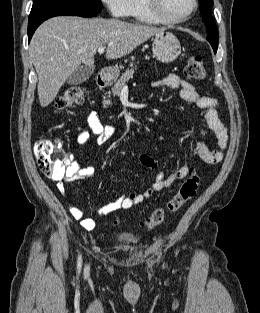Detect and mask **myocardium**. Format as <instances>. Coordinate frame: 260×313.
Returning a JSON list of instances; mask_svg holds the SVG:
<instances>
[{"label": "myocardium", "mask_w": 260, "mask_h": 313, "mask_svg": "<svg viewBox=\"0 0 260 313\" xmlns=\"http://www.w3.org/2000/svg\"><path fill=\"white\" fill-rule=\"evenodd\" d=\"M160 0H144V4L149 12V14L159 23L162 24H178L187 20L192 16L198 9V0H192V7L189 11L182 14L179 17L171 18L165 16L160 9Z\"/></svg>", "instance_id": "obj_1"}]
</instances>
